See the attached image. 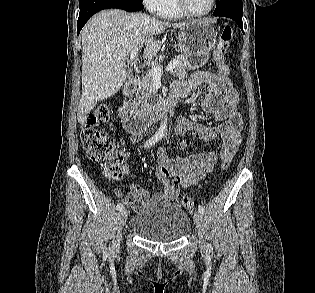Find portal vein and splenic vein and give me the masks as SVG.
<instances>
[{
    "label": "portal vein and splenic vein",
    "mask_w": 315,
    "mask_h": 293,
    "mask_svg": "<svg viewBox=\"0 0 315 293\" xmlns=\"http://www.w3.org/2000/svg\"><path fill=\"white\" fill-rule=\"evenodd\" d=\"M138 52V49H134L131 53V57L129 60H127V64H130L136 57V54ZM178 64V60L177 59H173L169 64L168 66L166 67V70L167 71H172ZM163 73V70L162 68H160L159 66H152V69H151V74L153 76L154 79H160L161 75Z\"/></svg>",
    "instance_id": "1"
}]
</instances>
